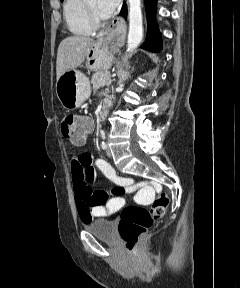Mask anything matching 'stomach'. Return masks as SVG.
I'll return each mask as SVG.
<instances>
[{
  "label": "stomach",
  "instance_id": "1",
  "mask_svg": "<svg viewBox=\"0 0 240 288\" xmlns=\"http://www.w3.org/2000/svg\"><path fill=\"white\" fill-rule=\"evenodd\" d=\"M114 56L105 40L95 42L88 50L84 65L92 71L108 70ZM91 93L89 79L80 71H66L56 83V94L65 109L79 107Z\"/></svg>",
  "mask_w": 240,
  "mask_h": 288
}]
</instances>
